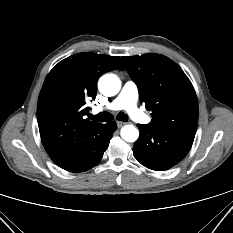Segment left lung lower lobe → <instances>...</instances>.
<instances>
[{
    "mask_svg": "<svg viewBox=\"0 0 233 233\" xmlns=\"http://www.w3.org/2000/svg\"><path fill=\"white\" fill-rule=\"evenodd\" d=\"M139 139L134 143L133 154L145 167L168 170L179 163L189 152L194 135L163 131L150 125L138 124Z\"/></svg>",
    "mask_w": 233,
    "mask_h": 233,
    "instance_id": "left-lung-lower-lobe-1",
    "label": "left lung lower lobe"
}]
</instances>
